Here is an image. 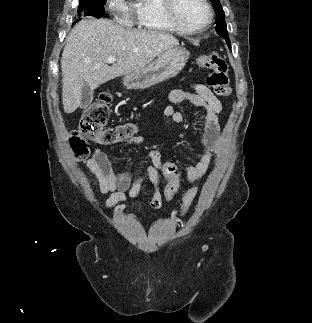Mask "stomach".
Instances as JSON below:
<instances>
[{
  "mask_svg": "<svg viewBox=\"0 0 312 323\" xmlns=\"http://www.w3.org/2000/svg\"><path fill=\"white\" fill-rule=\"evenodd\" d=\"M190 52L182 46H173L165 50L158 60H154L145 68H140L131 74H125L123 84L128 90H145L154 84L169 80L183 70Z\"/></svg>",
  "mask_w": 312,
  "mask_h": 323,
  "instance_id": "0dacf381",
  "label": "stomach"
}]
</instances>
